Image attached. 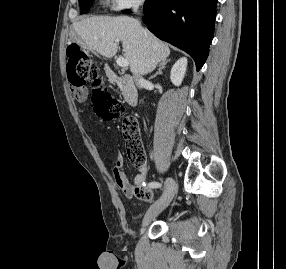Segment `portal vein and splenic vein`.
I'll return each mask as SVG.
<instances>
[{
    "mask_svg": "<svg viewBox=\"0 0 286 269\" xmlns=\"http://www.w3.org/2000/svg\"><path fill=\"white\" fill-rule=\"evenodd\" d=\"M116 42H119V40L117 39ZM116 63L119 67H122V68H125L129 65V62L123 57L118 58L116 60Z\"/></svg>",
    "mask_w": 286,
    "mask_h": 269,
    "instance_id": "obj_1",
    "label": "portal vein and splenic vein"
}]
</instances>
